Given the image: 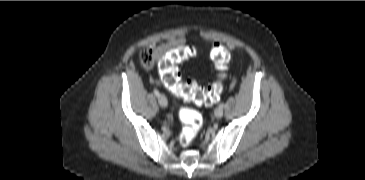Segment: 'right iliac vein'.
Segmentation results:
<instances>
[{
	"label": "right iliac vein",
	"instance_id": "obj_1",
	"mask_svg": "<svg viewBox=\"0 0 365 180\" xmlns=\"http://www.w3.org/2000/svg\"><path fill=\"white\" fill-rule=\"evenodd\" d=\"M158 102H159L160 106L164 107V108L167 107V105H168L167 98L164 95H160L158 97Z\"/></svg>",
	"mask_w": 365,
	"mask_h": 180
}]
</instances>
